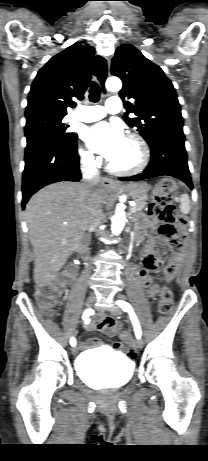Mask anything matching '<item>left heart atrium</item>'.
<instances>
[{
  "instance_id": "39dd6f15",
  "label": "left heart atrium",
  "mask_w": 208,
  "mask_h": 461,
  "mask_svg": "<svg viewBox=\"0 0 208 461\" xmlns=\"http://www.w3.org/2000/svg\"><path fill=\"white\" fill-rule=\"evenodd\" d=\"M84 139L93 151L111 160L119 153L126 138L119 126L101 122L87 129Z\"/></svg>"
}]
</instances>
